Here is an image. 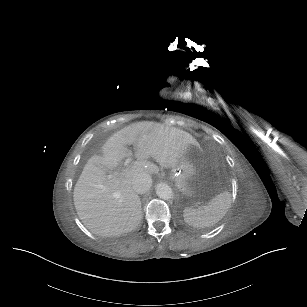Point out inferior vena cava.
I'll use <instances>...</instances> for the list:
<instances>
[{
	"instance_id": "obj_1",
	"label": "inferior vena cava",
	"mask_w": 307,
	"mask_h": 307,
	"mask_svg": "<svg viewBox=\"0 0 307 307\" xmlns=\"http://www.w3.org/2000/svg\"><path fill=\"white\" fill-rule=\"evenodd\" d=\"M152 186V178L147 173H139L132 178V189L139 194L147 192Z\"/></svg>"
}]
</instances>
